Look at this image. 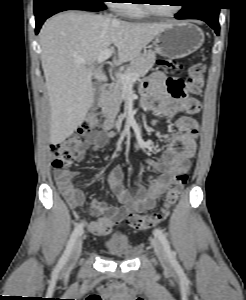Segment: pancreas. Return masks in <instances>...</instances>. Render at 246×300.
<instances>
[{
    "instance_id": "cf45deb5",
    "label": "pancreas",
    "mask_w": 246,
    "mask_h": 300,
    "mask_svg": "<svg viewBox=\"0 0 246 300\" xmlns=\"http://www.w3.org/2000/svg\"><path fill=\"white\" fill-rule=\"evenodd\" d=\"M156 61V54L153 51L144 52L138 55L126 68L124 74L137 73L138 79L147 74L149 69H151ZM132 82L131 85H133ZM125 85L121 81H116V83L105 92L101 100V108L103 113L110 117L115 118L120 111V105L123 100V91Z\"/></svg>"
}]
</instances>
